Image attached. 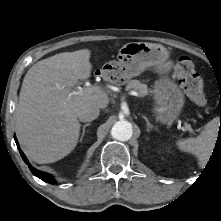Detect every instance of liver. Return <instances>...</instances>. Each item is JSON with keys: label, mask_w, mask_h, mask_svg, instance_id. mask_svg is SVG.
Instances as JSON below:
<instances>
[{"label": "liver", "mask_w": 221, "mask_h": 221, "mask_svg": "<svg viewBox=\"0 0 221 221\" xmlns=\"http://www.w3.org/2000/svg\"><path fill=\"white\" fill-rule=\"evenodd\" d=\"M91 51L63 52L35 63L26 73L15 110L18 140L25 154L38 164L56 162L76 147L78 114L94 105L105 109L106 91H78L79 80L91 76Z\"/></svg>", "instance_id": "obj_1"}]
</instances>
